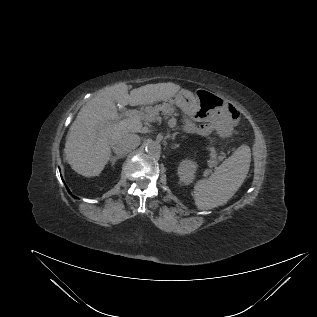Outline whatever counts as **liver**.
I'll return each instance as SVG.
<instances>
[{
	"instance_id": "6515ba94",
	"label": "liver",
	"mask_w": 317,
	"mask_h": 317,
	"mask_svg": "<svg viewBox=\"0 0 317 317\" xmlns=\"http://www.w3.org/2000/svg\"><path fill=\"white\" fill-rule=\"evenodd\" d=\"M180 86L172 82L147 84L128 93L120 83L105 89L79 111L66 137L64 155L71 168L85 176H98L111 156L112 143L140 131L141 121L118 120L115 102L122 105H151L174 97Z\"/></svg>"
}]
</instances>
